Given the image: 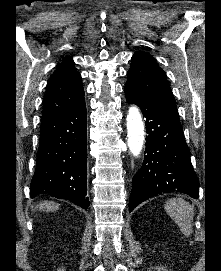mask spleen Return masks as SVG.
I'll return each mask as SVG.
<instances>
[{
	"label": "spleen",
	"instance_id": "3e777b00",
	"mask_svg": "<svg viewBox=\"0 0 221 271\" xmlns=\"http://www.w3.org/2000/svg\"><path fill=\"white\" fill-rule=\"evenodd\" d=\"M164 207L171 219L177 223L182 233L189 237L193 229L194 205L189 203V201H185L182 197H173V199L166 201Z\"/></svg>",
	"mask_w": 221,
	"mask_h": 271
}]
</instances>
